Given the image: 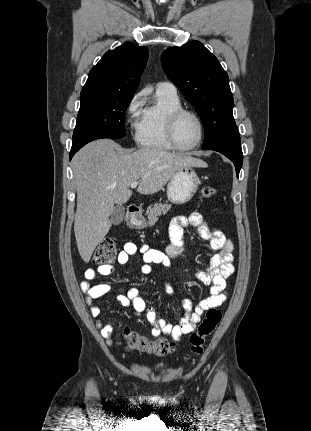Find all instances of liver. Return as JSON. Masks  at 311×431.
<instances>
[{"label": "liver", "instance_id": "liver-1", "mask_svg": "<svg viewBox=\"0 0 311 431\" xmlns=\"http://www.w3.org/2000/svg\"><path fill=\"white\" fill-rule=\"evenodd\" d=\"M207 168L206 162L189 154H171L158 148L124 150L113 140H96L81 148L72 160L77 192L74 233L83 261H90L98 243L107 235L114 204L123 206L139 180L143 196L160 192L183 168Z\"/></svg>", "mask_w": 311, "mask_h": 431}]
</instances>
